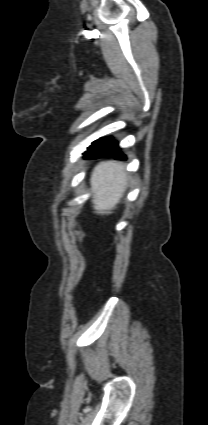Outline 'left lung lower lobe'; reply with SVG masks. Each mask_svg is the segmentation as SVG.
Returning <instances> with one entry per match:
<instances>
[{
	"label": "left lung lower lobe",
	"mask_w": 208,
	"mask_h": 425,
	"mask_svg": "<svg viewBox=\"0 0 208 425\" xmlns=\"http://www.w3.org/2000/svg\"><path fill=\"white\" fill-rule=\"evenodd\" d=\"M84 153V158L92 159L98 157H113L118 160H126V156L121 153L118 143L111 138L104 140H96Z\"/></svg>",
	"instance_id": "left-lung-lower-lobe-1"
}]
</instances>
